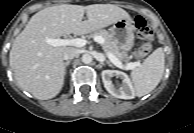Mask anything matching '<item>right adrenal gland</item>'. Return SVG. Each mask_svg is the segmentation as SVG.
Listing matches in <instances>:
<instances>
[{"label":"right adrenal gland","instance_id":"right-adrenal-gland-1","mask_svg":"<svg viewBox=\"0 0 194 133\" xmlns=\"http://www.w3.org/2000/svg\"><path fill=\"white\" fill-rule=\"evenodd\" d=\"M69 64H70V61H66V62L64 63V66H65V72H66V68L69 66Z\"/></svg>","mask_w":194,"mask_h":133}]
</instances>
